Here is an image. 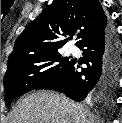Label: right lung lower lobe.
<instances>
[{"mask_svg":"<svg viewBox=\"0 0 122 123\" xmlns=\"http://www.w3.org/2000/svg\"><path fill=\"white\" fill-rule=\"evenodd\" d=\"M87 67L78 71L79 65L72 61L61 75L37 89H50L82 101L92 97L101 103L109 100L116 87L122 66V50L115 34L103 27L85 39L79 46Z\"/></svg>","mask_w":122,"mask_h":123,"instance_id":"1","label":"right lung lower lobe"}]
</instances>
